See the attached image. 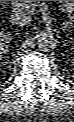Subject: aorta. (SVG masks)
Segmentation results:
<instances>
[{"label":"aorta","mask_w":74,"mask_h":122,"mask_svg":"<svg viewBox=\"0 0 74 122\" xmlns=\"http://www.w3.org/2000/svg\"><path fill=\"white\" fill-rule=\"evenodd\" d=\"M37 44L41 51L48 52L57 46L58 39L53 32L43 30L37 34Z\"/></svg>","instance_id":"obj_1"}]
</instances>
